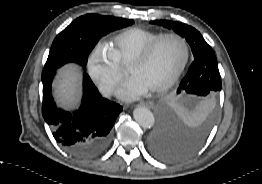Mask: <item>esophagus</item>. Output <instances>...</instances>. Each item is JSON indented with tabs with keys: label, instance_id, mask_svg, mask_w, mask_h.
<instances>
[{
	"label": "esophagus",
	"instance_id": "obj_1",
	"mask_svg": "<svg viewBox=\"0 0 262 184\" xmlns=\"http://www.w3.org/2000/svg\"><path fill=\"white\" fill-rule=\"evenodd\" d=\"M140 105L148 107V108H153L154 107V103L152 101H144V102H141Z\"/></svg>",
	"mask_w": 262,
	"mask_h": 184
}]
</instances>
